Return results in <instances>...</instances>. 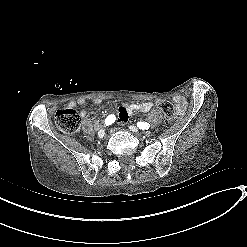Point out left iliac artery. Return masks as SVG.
<instances>
[{
  "label": "left iliac artery",
  "instance_id": "1",
  "mask_svg": "<svg viewBox=\"0 0 247 247\" xmlns=\"http://www.w3.org/2000/svg\"><path fill=\"white\" fill-rule=\"evenodd\" d=\"M137 127H139V129H142V130H148L150 127V124L147 122H138Z\"/></svg>",
  "mask_w": 247,
  "mask_h": 247
}]
</instances>
